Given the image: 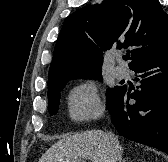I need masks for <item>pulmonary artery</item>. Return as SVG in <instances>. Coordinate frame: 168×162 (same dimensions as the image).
<instances>
[{
	"instance_id": "e3ab8cb5",
	"label": "pulmonary artery",
	"mask_w": 168,
	"mask_h": 162,
	"mask_svg": "<svg viewBox=\"0 0 168 162\" xmlns=\"http://www.w3.org/2000/svg\"><path fill=\"white\" fill-rule=\"evenodd\" d=\"M115 75L118 78H126L128 76V70L126 67L118 66L115 68Z\"/></svg>"
}]
</instances>
